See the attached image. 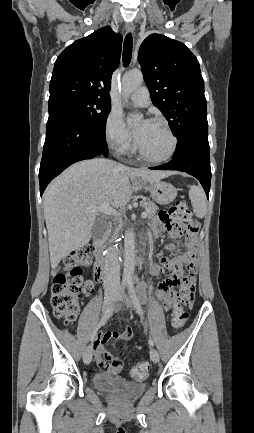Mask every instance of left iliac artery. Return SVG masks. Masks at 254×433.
I'll return each mask as SVG.
<instances>
[{
	"label": "left iliac artery",
	"instance_id": "1",
	"mask_svg": "<svg viewBox=\"0 0 254 433\" xmlns=\"http://www.w3.org/2000/svg\"><path fill=\"white\" fill-rule=\"evenodd\" d=\"M128 288H129V293H130V296L132 298L136 312L140 315L141 319L144 320L141 303H140L139 298H138V296L134 290V282L132 280L128 282ZM145 328H147L146 325H145ZM148 342H149L150 346H152V347L154 346L153 339L151 338V336H149Z\"/></svg>",
	"mask_w": 254,
	"mask_h": 433
}]
</instances>
